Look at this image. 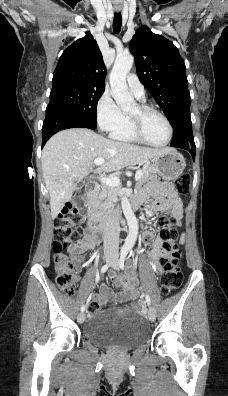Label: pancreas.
Segmentation results:
<instances>
[{"label":"pancreas","mask_w":228,"mask_h":396,"mask_svg":"<svg viewBox=\"0 0 228 396\" xmlns=\"http://www.w3.org/2000/svg\"><path fill=\"white\" fill-rule=\"evenodd\" d=\"M142 176L140 180H145L152 174L156 173L153 165H145L142 169ZM119 192L115 187L102 184L97 188L94 194L90 197L91 214L94 217L104 219L107 209L112 206L113 201L117 199Z\"/></svg>","instance_id":"pancreas-1"}]
</instances>
